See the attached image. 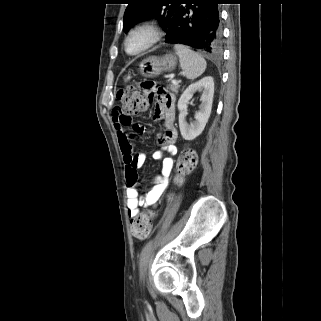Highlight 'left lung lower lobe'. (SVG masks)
<instances>
[{
	"label": "left lung lower lobe",
	"instance_id": "1",
	"mask_svg": "<svg viewBox=\"0 0 321 321\" xmlns=\"http://www.w3.org/2000/svg\"><path fill=\"white\" fill-rule=\"evenodd\" d=\"M222 0H181L168 24L166 42L184 44L209 54L222 47L218 4Z\"/></svg>",
	"mask_w": 321,
	"mask_h": 321
}]
</instances>
